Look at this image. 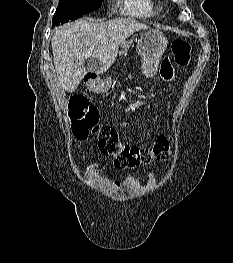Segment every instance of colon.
I'll return each mask as SVG.
<instances>
[{"instance_id":"obj_1","label":"colon","mask_w":233,"mask_h":263,"mask_svg":"<svg viewBox=\"0 0 233 263\" xmlns=\"http://www.w3.org/2000/svg\"><path fill=\"white\" fill-rule=\"evenodd\" d=\"M174 60L178 66H186L191 59V45L176 39L172 43ZM69 119L74 134L79 139L94 136L101 152L114 157L118 168H131L147 164L153 159L163 160L167 157L171 137L159 136L152 147H138L124 144L119 140L115 128L99 123L97 108L82 97L72 99L68 108Z\"/></svg>"}]
</instances>
